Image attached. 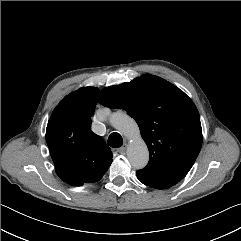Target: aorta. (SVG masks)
<instances>
[{
	"label": "aorta",
	"mask_w": 241,
	"mask_h": 241,
	"mask_svg": "<svg viewBox=\"0 0 241 241\" xmlns=\"http://www.w3.org/2000/svg\"><path fill=\"white\" fill-rule=\"evenodd\" d=\"M109 121L114 128L130 140L127 148V157L130 164L136 169L144 168L149 160V151L141 138L136 121L123 112L112 114Z\"/></svg>",
	"instance_id": "aorta-1"
}]
</instances>
